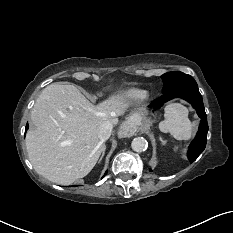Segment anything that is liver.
<instances>
[{
    "mask_svg": "<svg viewBox=\"0 0 233 233\" xmlns=\"http://www.w3.org/2000/svg\"><path fill=\"white\" fill-rule=\"evenodd\" d=\"M128 108L124 96L112 95L93 105L75 86L50 84L31 111L34 128L26 135L28 157L35 171L53 183L70 185L97 163L105 144L98 132L118 124Z\"/></svg>",
    "mask_w": 233,
    "mask_h": 233,
    "instance_id": "1",
    "label": "liver"
}]
</instances>
